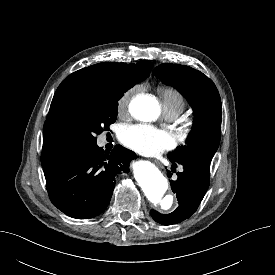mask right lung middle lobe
<instances>
[{"label": "right lung middle lobe", "mask_w": 275, "mask_h": 275, "mask_svg": "<svg viewBox=\"0 0 275 275\" xmlns=\"http://www.w3.org/2000/svg\"><path fill=\"white\" fill-rule=\"evenodd\" d=\"M120 97L62 101L55 107L52 120L73 150L93 147L97 145L96 135L116 121Z\"/></svg>", "instance_id": "dd1d6c3e"}]
</instances>
